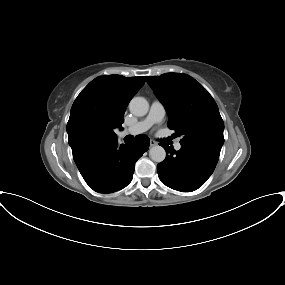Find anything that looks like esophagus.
<instances>
[{"label":"esophagus","mask_w":285,"mask_h":285,"mask_svg":"<svg viewBox=\"0 0 285 285\" xmlns=\"http://www.w3.org/2000/svg\"><path fill=\"white\" fill-rule=\"evenodd\" d=\"M157 145V142L154 140H150V147H154Z\"/></svg>","instance_id":"obj_1"}]
</instances>
